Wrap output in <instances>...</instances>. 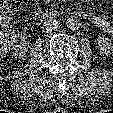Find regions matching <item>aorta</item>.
<instances>
[{"label":"aorta","instance_id":"1","mask_svg":"<svg viewBox=\"0 0 113 113\" xmlns=\"http://www.w3.org/2000/svg\"><path fill=\"white\" fill-rule=\"evenodd\" d=\"M66 25L71 30H78L81 27L82 22L79 17L72 15L67 19Z\"/></svg>","mask_w":113,"mask_h":113}]
</instances>
